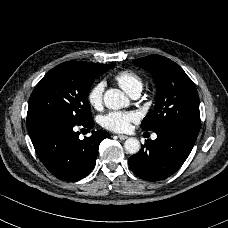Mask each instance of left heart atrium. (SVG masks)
<instances>
[{"label":"left heart atrium","instance_id":"left-heart-atrium-1","mask_svg":"<svg viewBox=\"0 0 228 228\" xmlns=\"http://www.w3.org/2000/svg\"><path fill=\"white\" fill-rule=\"evenodd\" d=\"M137 119L133 112L111 111L102 117V125L113 132H126Z\"/></svg>","mask_w":228,"mask_h":228}]
</instances>
